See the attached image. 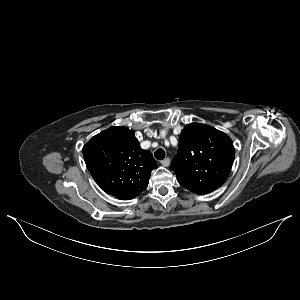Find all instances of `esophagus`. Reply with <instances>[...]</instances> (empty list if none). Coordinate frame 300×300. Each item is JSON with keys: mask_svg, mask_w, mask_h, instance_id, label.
Masks as SVG:
<instances>
[{"mask_svg": "<svg viewBox=\"0 0 300 300\" xmlns=\"http://www.w3.org/2000/svg\"><path fill=\"white\" fill-rule=\"evenodd\" d=\"M160 163H161L164 167H167V166L170 164V159L167 157V158L161 160Z\"/></svg>", "mask_w": 300, "mask_h": 300, "instance_id": "esophagus-1", "label": "esophagus"}]
</instances>
